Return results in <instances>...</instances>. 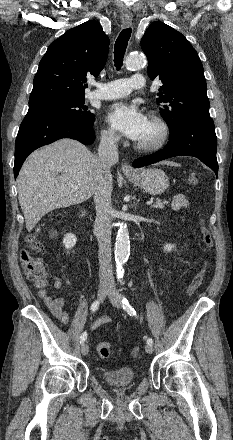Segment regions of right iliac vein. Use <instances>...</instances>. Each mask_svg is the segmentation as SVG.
<instances>
[{"label": "right iliac vein", "mask_w": 233, "mask_h": 440, "mask_svg": "<svg viewBox=\"0 0 233 440\" xmlns=\"http://www.w3.org/2000/svg\"><path fill=\"white\" fill-rule=\"evenodd\" d=\"M109 291V286L108 285H100L99 290H98V298L99 300H103L104 297L106 296L107 292ZM89 352V346L87 343H83L81 346V353L82 355H87Z\"/></svg>", "instance_id": "63e3f726"}]
</instances>
